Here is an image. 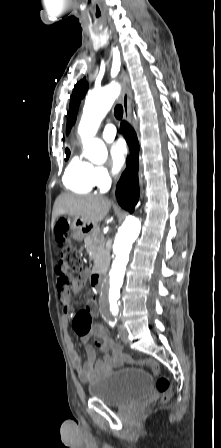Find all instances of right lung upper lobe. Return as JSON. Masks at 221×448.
I'll return each mask as SVG.
<instances>
[{"label": "right lung upper lobe", "mask_w": 221, "mask_h": 448, "mask_svg": "<svg viewBox=\"0 0 221 448\" xmlns=\"http://www.w3.org/2000/svg\"><path fill=\"white\" fill-rule=\"evenodd\" d=\"M66 152H69V150H68V149H66Z\"/></svg>", "instance_id": "obj_1"}]
</instances>
